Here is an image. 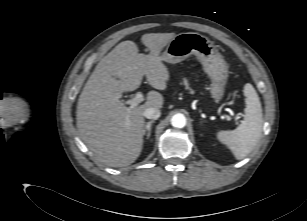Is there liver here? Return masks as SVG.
Wrapping results in <instances>:
<instances>
[{"mask_svg": "<svg viewBox=\"0 0 307 221\" xmlns=\"http://www.w3.org/2000/svg\"><path fill=\"white\" fill-rule=\"evenodd\" d=\"M174 33H150L141 42L150 54H140L133 41L119 43L97 64L78 100L76 120L79 137L107 166L123 167L135 162L143 146L144 111L162 108L164 97L151 90L146 101L134 108L126 107L121 97L136 90L146 76L149 84L165 89L168 68L160 57L161 50Z\"/></svg>", "mask_w": 307, "mask_h": 221, "instance_id": "obj_1", "label": "liver"}]
</instances>
